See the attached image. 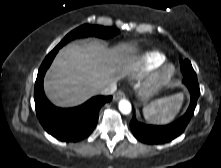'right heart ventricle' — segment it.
I'll return each mask as SVG.
<instances>
[{"mask_svg": "<svg viewBox=\"0 0 221 168\" xmlns=\"http://www.w3.org/2000/svg\"><path fill=\"white\" fill-rule=\"evenodd\" d=\"M166 61V56L158 51H150L145 53L139 61L141 73H149L160 66Z\"/></svg>", "mask_w": 221, "mask_h": 168, "instance_id": "right-heart-ventricle-1", "label": "right heart ventricle"}]
</instances>
